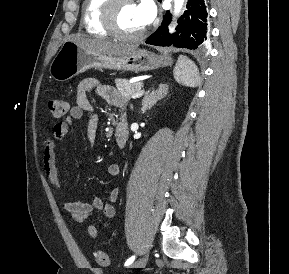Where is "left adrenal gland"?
<instances>
[{
    "label": "left adrenal gland",
    "mask_w": 289,
    "mask_h": 274,
    "mask_svg": "<svg viewBox=\"0 0 289 274\" xmlns=\"http://www.w3.org/2000/svg\"><path fill=\"white\" fill-rule=\"evenodd\" d=\"M168 88V85L160 84L157 90L146 92L142 100V113H145L146 110L150 109L154 104L157 103V101L165 97L168 93Z\"/></svg>",
    "instance_id": "a2214340"
}]
</instances>
